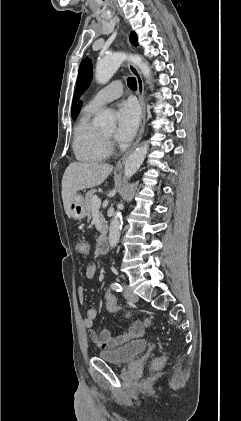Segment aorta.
<instances>
[{"instance_id": "1", "label": "aorta", "mask_w": 241, "mask_h": 421, "mask_svg": "<svg viewBox=\"0 0 241 421\" xmlns=\"http://www.w3.org/2000/svg\"><path fill=\"white\" fill-rule=\"evenodd\" d=\"M129 58L133 61L137 67L141 70L145 78L150 81L151 71L147 62L143 61L139 55H127L124 52H116L98 60L95 71L96 80L101 83H107L111 77L115 74L119 66L124 60ZM96 124L99 127L107 128L115 125V117L111 111H104L97 119ZM148 152V143L143 142L138 148H136L127 158L124 167V179H130L140 168L143 163L146 154ZM122 204H118V208ZM122 227V215L120 211H116L112 216L110 227H109V244L110 247L114 248L120 238V231Z\"/></svg>"}]
</instances>
